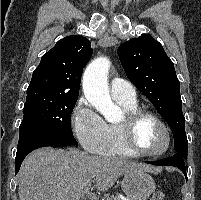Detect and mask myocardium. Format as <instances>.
<instances>
[{
    "mask_svg": "<svg viewBox=\"0 0 201 200\" xmlns=\"http://www.w3.org/2000/svg\"><path fill=\"white\" fill-rule=\"evenodd\" d=\"M144 119H151L156 122L164 132L165 135V145L164 147L156 152H146L141 150L135 142V131L137 126ZM119 129L121 132L122 143L125 148L130 151L135 156L139 157H159L167 153L171 145V133L166 125V123L156 114L142 110L136 109L131 112H127L123 120L119 123Z\"/></svg>",
    "mask_w": 201,
    "mask_h": 200,
    "instance_id": "1",
    "label": "myocardium"
}]
</instances>
